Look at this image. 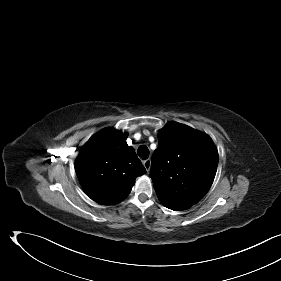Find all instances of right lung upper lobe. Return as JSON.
Instances as JSON below:
<instances>
[{"instance_id": "right-lung-upper-lobe-1", "label": "right lung upper lobe", "mask_w": 281, "mask_h": 281, "mask_svg": "<svg viewBox=\"0 0 281 281\" xmlns=\"http://www.w3.org/2000/svg\"><path fill=\"white\" fill-rule=\"evenodd\" d=\"M127 134L103 129L83 146L75 163L76 174L85 193L103 205L121 202L135 179L146 173Z\"/></svg>"}]
</instances>
